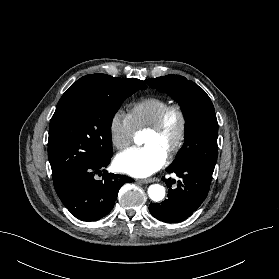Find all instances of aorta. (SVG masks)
<instances>
[{"label":"aorta","instance_id":"aorta-1","mask_svg":"<svg viewBox=\"0 0 279 279\" xmlns=\"http://www.w3.org/2000/svg\"><path fill=\"white\" fill-rule=\"evenodd\" d=\"M136 142L137 139H135ZM148 195L151 200L158 202L161 201L165 197V188L160 184L150 185L148 188Z\"/></svg>","mask_w":279,"mask_h":279}]
</instances>
